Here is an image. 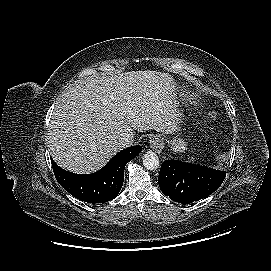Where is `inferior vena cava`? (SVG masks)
I'll use <instances>...</instances> for the list:
<instances>
[{
  "mask_svg": "<svg viewBox=\"0 0 271 271\" xmlns=\"http://www.w3.org/2000/svg\"><path fill=\"white\" fill-rule=\"evenodd\" d=\"M134 142V136L131 133H123L119 136L118 140L116 141V144L119 148H126L133 144Z\"/></svg>",
  "mask_w": 271,
  "mask_h": 271,
  "instance_id": "1",
  "label": "inferior vena cava"
}]
</instances>
